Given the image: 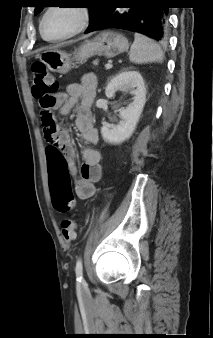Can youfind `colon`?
<instances>
[{
	"instance_id": "colon-1",
	"label": "colon",
	"mask_w": 213,
	"mask_h": 338,
	"mask_svg": "<svg viewBox=\"0 0 213 338\" xmlns=\"http://www.w3.org/2000/svg\"><path fill=\"white\" fill-rule=\"evenodd\" d=\"M33 84L32 94L38 102L39 112L43 123V133L47 141H52L51 135L56 132V122L52 110L56 104V93L59 89L57 78L48 72L42 62L32 65ZM52 202L59 212H67L75 206L74 197L69 187L61 182H55L52 187ZM76 224L70 219L61 223V233L66 242L76 237Z\"/></svg>"
}]
</instances>
